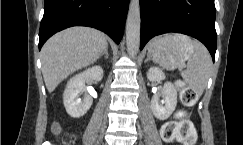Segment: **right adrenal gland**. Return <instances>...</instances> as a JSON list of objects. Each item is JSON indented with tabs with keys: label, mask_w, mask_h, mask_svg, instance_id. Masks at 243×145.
I'll return each instance as SVG.
<instances>
[{
	"label": "right adrenal gland",
	"mask_w": 243,
	"mask_h": 145,
	"mask_svg": "<svg viewBox=\"0 0 243 145\" xmlns=\"http://www.w3.org/2000/svg\"><path fill=\"white\" fill-rule=\"evenodd\" d=\"M103 56L105 57V59H108V57H109V54H108V44L106 45L104 52L100 55L99 58H102Z\"/></svg>",
	"instance_id": "1"
}]
</instances>
